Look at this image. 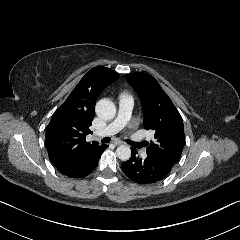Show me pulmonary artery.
I'll return each mask as SVG.
<instances>
[{"instance_id":"obj_1","label":"pulmonary artery","mask_w":240,"mask_h":240,"mask_svg":"<svg viewBox=\"0 0 240 240\" xmlns=\"http://www.w3.org/2000/svg\"><path fill=\"white\" fill-rule=\"evenodd\" d=\"M120 101L121 103L119 105L118 117L116 118L115 121L109 124L105 129H103L100 132H97L95 134L97 137L110 136L116 133L124 126V124L127 122L129 117L131 116L132 110H133L132 99L124 96L121 98Z\"/></svg>"}]
</instances>
